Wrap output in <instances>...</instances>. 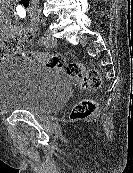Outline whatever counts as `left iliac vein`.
<instances>
[{
  "mask_svg": "<svg viewBox=\"0 0 133 173\" xmlns=\"http://www.w3.org/2000/svg\"><path fill=\"white\" fill-rule=\"evenodd\" d=\"M45 44L47 46H51V47H54L57 44V41L54 38V36H53L51 31H46L45 32Z\"/></svg>",
  "mask_w": 133,
  "mask_h": 173,
  "instance_id": "1",
  "label": "left iliac vein"
}]
</instances>
